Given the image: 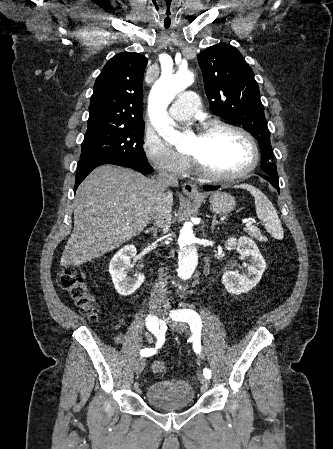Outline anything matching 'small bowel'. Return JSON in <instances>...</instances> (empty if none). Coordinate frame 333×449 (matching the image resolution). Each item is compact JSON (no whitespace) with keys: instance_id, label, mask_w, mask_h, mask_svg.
<instances>
[{"instance_id":"small-bowel-1","label":"small bowel","mask_w":333,"mask_h":449,"mask_svg":"<svg viewBox=\"0 0 333 449\" xmlns=\"http://www.w3.org/2000/svg\"><path fill=\"white\" fill-rule=\"evenodd\" d=\"M116 341H117V343L122 344L124 342V336L123 335H118L116 337Z\"/></svg>"}]
</instances>
